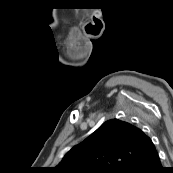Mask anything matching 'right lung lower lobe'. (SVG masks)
I'll return each instance as SVG.
<instances>
[{"label": "right lung lower lobe", "mask_w": 173, "mask_h": 173, "mask_svg": "<svg viewBox=\"0 0 173 173\" xmlns=\"http://www.w3.org/2000/svg\"><path fill=\"white\" fill-rule=\"evenodd\" d=\"M160 158L155 149L150 154L133 161L122 173H163Z\"/></svg>", "instance_id": "obj_1"}]
</instances>
